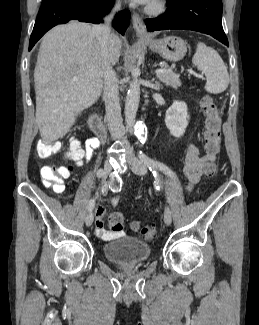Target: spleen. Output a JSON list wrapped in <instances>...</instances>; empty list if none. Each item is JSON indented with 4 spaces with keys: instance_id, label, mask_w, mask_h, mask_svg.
<instances>
[{
    "instance_id": "3e777b00",
    "label": "spleen",
    "mask_w": 259,
    "mask_h": 325,
    "mask_svg": "<svg viewBox=\"0 0 259 325\" xmlns=\"http://www.w3.org/2000/svg\"><path fill=\"white\" fill-rule=\"evenodd\" d=\"M192 63L205 74L207 79L205 90L207 92L219 94L227 89L229 85L228 71L215 49L199 42Z\"/></svg>"
}]
</instances>
